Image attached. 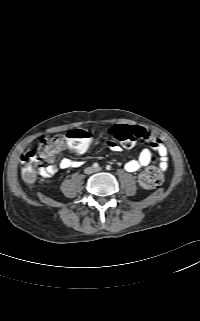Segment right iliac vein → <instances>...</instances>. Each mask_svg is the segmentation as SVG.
I'll use <instances>...</instances> for the list:
<instances>
[{
    "mask_svg": "<svg viewBox=\"0 0 200 321\" xmlns=\"http://www.w3.org/2000/svg\"><path fill=\"white\" fill-rule=\"evenodd\" d=\"M85 172H86L87 174H91V173L94 172V169H93L92 167H88V168H86Z\"/></svg>",
    "mask_w": 200,
    "mask_h": 321,
    "instance_id": "right-iliac-vein-1",
    "label": "right iliac vein"
}]
</instances>
